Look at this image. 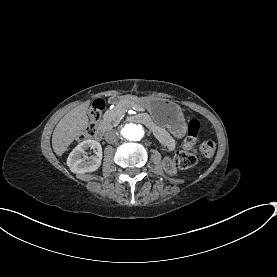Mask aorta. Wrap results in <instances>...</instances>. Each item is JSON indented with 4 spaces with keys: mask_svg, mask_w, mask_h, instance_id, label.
<instances>
[{
    "mask_svg": "<svg viewBox=\"0 0 277 277\" xmlns=\"http://www.w3.org/2000/svg\"><path fill=\"white\" fill-rule=\"evenodd\" d=\"M144 134V127L140 124L124 123L119 129V137L127 141H139Z\"/></svg>",
    "mask_w": 277,
    "mask_h": 277,
    "instance_id": "aorta-1",
    "label": "aorta"
}]
</instances>
